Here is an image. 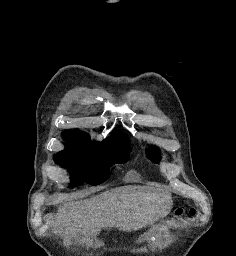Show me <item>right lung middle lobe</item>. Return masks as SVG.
I'll return each mask as SVG.
<instances>
[{
	"mask_svg": "<svg viewBox=\"0 0 236 256\" xmlns=\"http://www.w3.org/2000/svg\"><path fill=\"white\" fill-rule=\"evenodd\" d=\"M66 148L54 156L57 164L69 169L71 186L98 185L107 180L109 167L127 161L131 147L127 142H91L63 135Z\"/></svg>",
	"mask_w": 236,
	"mask_h": 256,
	"instance_id": "obj_1",
	"label": "right lung middle lobe"
}]
</instances>
